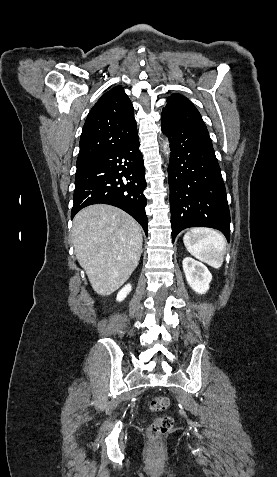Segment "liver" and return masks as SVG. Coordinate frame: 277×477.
Here are the masks:
<instances>
[{
  "instance_id": "1",
  "label": "liver",
  "mask_w": 277,
  "mask_h": 477,
  "mask_svg": "<svg viewBox=\"0 0 277 477\" xmlns=\"http://www.w3.org/2000/svg\"><path fill=\"white\" fill-rule=\"evenodd\" d=\"M76 258L93 290L108 296L137 267L142 252L140 225L126 212L107 204L82 209L73 219Z\"/></svg>"
}]
</instances>
